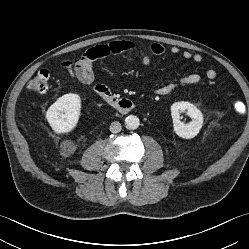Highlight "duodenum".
<instances>
[{
	"label": "duodenum",
	"instance_id": "duodenum-1",
	"mask_svg": "<svg viewBox=\"0 0 249 249\" xmlns=\"http://www.w3.org/2000/svg\"><path fill=\"white\" fill-rule=\"evenodd\" d=\"M100 96L115 110L120 113L127 114L135 108V103L124 97H119L112 93L111 91H105L100 94Z\"/></svg>",
	"mask_w": 249,
	"mask_h": 249
}]
</instances>
